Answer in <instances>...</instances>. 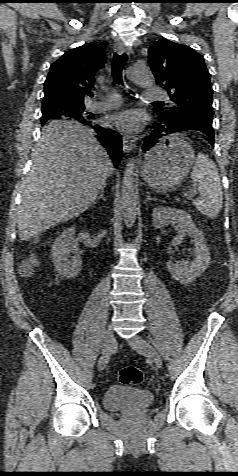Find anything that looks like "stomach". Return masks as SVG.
Instances as JSON below:
<instances>
[{
	"instance_id": "0dacf381",
	"label": "stomach",
	"mask_w": 238,
	"mask_h": 476,
	"mask_svg": "<svg viewBox=\"0 0 238 476\" xmlns=\"http://www.w3.org/2000/svg\"><path fill=\"white\" fill-rule=\"evenodd\" d=\"M195 160L190 144L178 134L162 139L146 154L141 167L145 183L158 191L177 188Z\"/></svg>"
}]
</instances>
